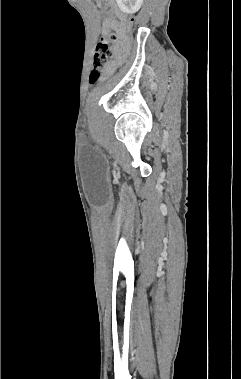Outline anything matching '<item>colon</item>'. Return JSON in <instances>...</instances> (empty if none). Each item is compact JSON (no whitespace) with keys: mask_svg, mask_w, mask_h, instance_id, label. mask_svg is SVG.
I'll list each match as a JSON object with an SVG mask.
<instances>
[{"mask_svg":"<svg viewBox=\"0 0 241 379\" xmlns=\"http://www.w3.org/2000/svg\"><path fill=\"white\" fill-rule=\"evenodd\" d=\"M107 11L111 15H115V9L112 5L107 7ZM128 23L126 24V29L127 30H132L133 29V24L135 22V14L134 13H129L128 14ZM128 38L129 39H134L135 38V33L134 32H129L128 33ZM118 36L115 33H111L107 38H103L96 46V50L94 53V67L91 71L90 74V81L92 83L97 82L102 74L106 72L108 65L110 63V59L112 57V48L114 43L117 41Z\"/></svg>","mask_w":241,"mask_h":379,"instance_id":"obj_1","label":"colon"}]
</instances>
